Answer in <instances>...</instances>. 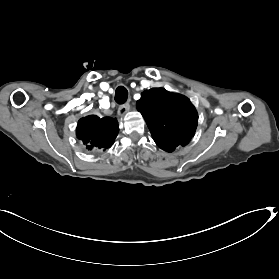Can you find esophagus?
Here are the masks:
<instances>
[{"instance_id": "34e87169", "label": "esophagus", "mask_w": 279, "mask_h": 279, "mask_svg": "<svg viewBox=\"0 0 279 279\" xmlns=\"http://www.w3.org/2000/svg\"><path fill=\"white\" fill-rule=\"evenodd\" d=\"M130 109V105L129 103H124L122 105L119 106L118 108V115L123 116L124 114H126Z\"/></svg>"}]
</instances>
